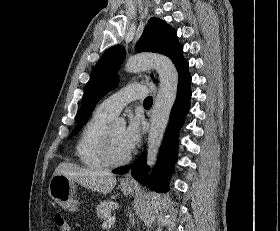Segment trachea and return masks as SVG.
I'll return each instance as SVG.
<instances>
[{"instance_id":"obj_1","label":"trachea","mask_w":280,"mask_h":231,"mask_svg":"<svg viewBox=\"0 0 280 231\" xmlns=\"http://www.w3.org/2000/svg\"><path fill=\"white\" fill-rule=\"evenodd\" d=\"M153 103V98L151 96H147L143 102V106L145 109H150Z\"/></svg>"}]
</instances>
